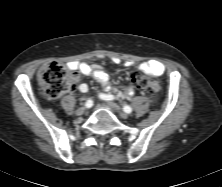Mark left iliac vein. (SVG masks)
Listing matches in <instances>:
<instances>
[{
    "mask_svg": "<svg viewBox=\"0 0 222 187\" xmlns=\"http://www.w3.org/2000/svg\"><path fill=\"white\" fill-rule=\"evenodd\" d=\"M107 105L117 111L122 118H126L127 114L121 111L120 107L114 102H107Z\"/></svg>",
    "mask_w": 222,
    "mask_h": 187,
    "instance_id": "1",
    "label": "left iliac vein"
}]
</instances>
